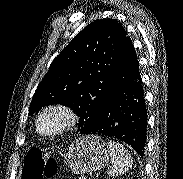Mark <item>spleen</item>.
Masks as SVG:
<instances>
[{
	"instance_id": "obj_1",
	"label": "spleen",
	"mask_w": 183,
	"mask_h": 179,
	"mask_svg": "<svg viewBox=\"0 0 183 179\" xmlns=\"http://www.w3.org/2000/svg\"><path fill=\"white\" fill-rule=\"evenodd\" d=\"M108 146L110 149L112 163V166L109 169L110 176H119L132 168V157L122 144L114 141H109Z\"/></svg>"
}]
</instances>
